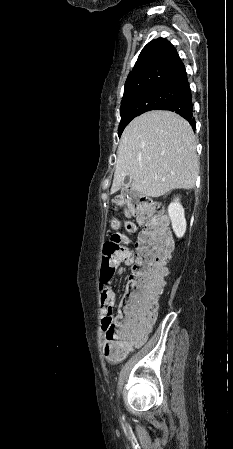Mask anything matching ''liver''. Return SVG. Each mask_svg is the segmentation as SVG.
Returning a JSON list of instances; mask_svg holds the SVG:
<instances>
[{"mask_svg": "<svg viewBox=\"0 0 233 449\" xmlns=\"http://www.w3.org/2000/svg\"><path fill=\"white\" fill-rule=\"evenodd\" d=\"M199 171L190 124L170 111H150L125 128L117 150L111 193L130 177L131 190L160 197L173 189H192Z\"/></svg>", "mask_w": 233, "mask_h": 449, "instance_id": "1", "label": "liver"}]
</instances>
